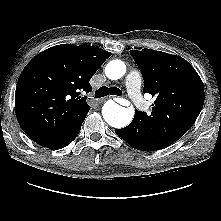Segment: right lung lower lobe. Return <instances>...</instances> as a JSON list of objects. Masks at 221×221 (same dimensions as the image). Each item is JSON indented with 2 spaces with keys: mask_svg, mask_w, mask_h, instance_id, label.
Masks as SVG:
<instances>
[{
  "mask_svg": "<svg viewBox=\"0 0 221 221\" xmlns=\"http://www.w3.org/2000/svg\"><path fill=\"white\" fill-rule=\"evenodd\" d=\"M80 129H81V126L71 136L66 138L64 141L56 144L55 146L50 147V149H61V148L66 147L77 137V135L80 132Z\"/></svg>",
  "mask_w": 221,
  "mask_h": 221,
  "instance_id": "obj_1",
  "label": "right lung lower lobe"
}]
</instances>
